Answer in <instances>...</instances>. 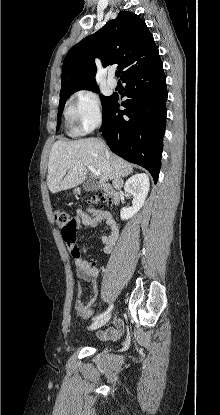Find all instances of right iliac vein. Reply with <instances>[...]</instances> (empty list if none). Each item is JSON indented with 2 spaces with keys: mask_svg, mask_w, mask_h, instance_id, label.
Listing matches in <instances>:
<instances>
[{
  "mask_svg": "<svg viewBox=\"0 0 220 415\" xmlns=\"http://www.w3.org/2000/svg\"><path fill=\"white\" fill-rule=\"evenodd\" d=\"M109 319H110V315H106L103 318L96 320L88 327V330H95V329L102 327L104 324H106L109 321Z\"/></svg>",
  "mask_w": 220,
  "mask_h": 415,
  "instance_id": "63e3f726",
  "label": "right iliac vein"
}]
</instances>
